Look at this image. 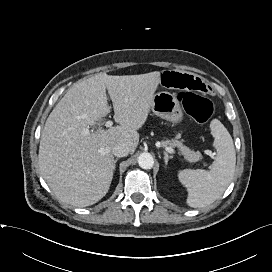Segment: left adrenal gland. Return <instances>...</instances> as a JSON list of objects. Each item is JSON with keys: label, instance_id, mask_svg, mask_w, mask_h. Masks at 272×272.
Here are the masks:
<instances>
[{"label": "left adrenal gland", "instance_id": "obj_1", "mask_svg": "<svg viewBox=\"0 0 272 272\" xmlns=\"http://www.w3.org/2000/svg\"><path fill=\"white\" fill-rule=\"evenodd\" d=\"M171 158H172V156H169L167 152H164V161H165L166 165L168 164V160Z\"/></svg>", "mask_w": 272, "mask_h": 272}]
</instances>
